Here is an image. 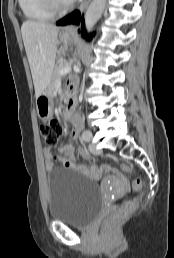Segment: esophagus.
Wrapping results in <instances>:
<instances>
[{"mask_svg":"<svg viewBox=\"0 0 174 258\" xmlns=\"http://www.w3.org/2000/svg\"><path fill=\"white\" fill-rule=\"evenodd\" d=\"M89 2H90V0H84V1L81 3V5H80V7H79L80 12H83V11H84L85 7L87 6V4H88ZM76 28H77L76 25H69V26L65 27L63 31L66 32V33H70V32H73Z\"/></svg>","mask_w":174,"mask_h":258,"instance_id":"obj_1","label":"esophagus"}]
</instances>
